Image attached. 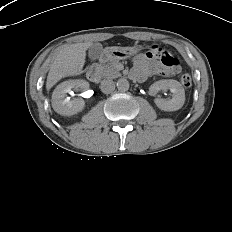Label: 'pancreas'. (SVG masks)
Here are the masks:
<instances>
[{"instance_id": "cf45deb5", "label": "pancreas", "mask_w": 232, "mask_h": 232, "mask_svg": "<svg viewBox=\"0 0 232 232\" xmlns=\"http://www.w3.org/2000/svg\"><path fill=\"white\" fill-rule=\"evenodd\" d=\"M118 61H111L107 64H99V73L104 78H117L121 76L119 70L117 69Z\"/></svg>"}]
</instances>
